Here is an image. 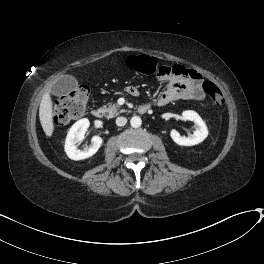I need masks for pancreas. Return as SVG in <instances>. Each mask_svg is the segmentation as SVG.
Instances as JSON below:
<instances>
[{"label":"pancreas","instance_id":"pancreas-1","mask_svg":"<svg viewBox=\"0 0 264 264\" xmlns=\"http://www.w3.org/2000/svg\"><path fill=\"white\" fill-rule=\"evenodd\" d=\"M102 110L107 118H113L124 112V110H119V106L116 104H109L108 106L105 105Z\"/></svg>","mask_w":264,"mask_h":264}]
</instances>
